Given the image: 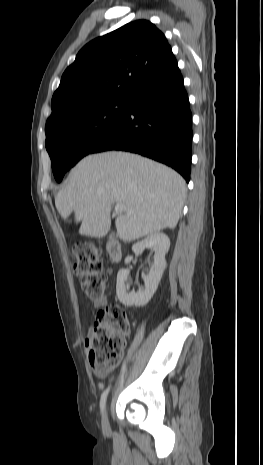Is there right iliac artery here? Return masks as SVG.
I'll list each match as a JSON object with an SVG mask.
<instances>
[{
    "instance_id": "right-iliac-artery-1",
    "label": "right iliac artery",
    "mask_w": 263,
    "mask_h": 465,
    "mask_svg": "<svg viewBox=\"0 0 263 465\" xmlns=\"http://www.w3.org/2000/svg\"><path fill=\"white\" fill-rule=\"evenodd\" d=\"M109 390H110V388L108 387L106 390H104V392L101 395L100 409H101L102 412L104 411V408H105L106 399H107V395L109 393Z\"/></svg>"
}]
</instances>
